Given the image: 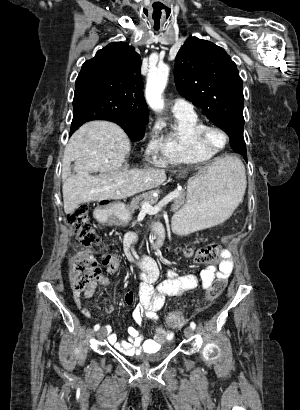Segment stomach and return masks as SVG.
I'll return each mask as SVG.
<instances>
[{
  "mask_svg": "<svg viewBox=\"0 0 300 410\" xmlns=\"http://www.w3.org/2000/svg\"><path fill=\"white\" fill-rule=\"evenodd\" d=\"M230 158L223 167H208L188 181L186 203L173 217L177 233L186 235L208 229L231 216L239 203L240 191L236 170L226 167ZM102 212L123 224L131 218L129 208L122 203H115Z\"/></svg>",
  "mask_w": 300,
  "mask_h": 410,
  "instance_id": "1",
  "label": "stomach"
}]
</instances>
